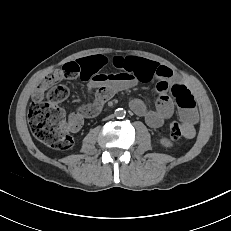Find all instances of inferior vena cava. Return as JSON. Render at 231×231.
<instances>
[{
    "mask_svg": "<svg viewBox=\"0 0 231 231\" xmlns=\"http://www.w3.org/2000/svg\"><path fill=\"white\" fill-rule=\"evenodd\" d=\"M113 116L111 115V116H109V117H107L106 119H110V118H112Z\"/></svg>",
    "mask_w": 231,
    "mask_h": 231,
    "instance_id": "inferior-vena-cava-1",
    "label": "inferior vena cava"
}]
</instances>
